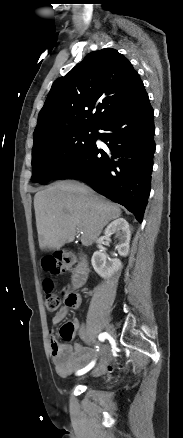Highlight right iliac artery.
<instances>
[{
  "mask_svg": "<svg viewBox=\"0 0 183 438\" xmlns=\"http://www.w3.org/2000/svg\"><path fill=\"white\" fill-rule=\"evenodd\" d=\"M109 337H110L109 334L104 332V333H101L98 338H99L100 341H104L106 338H109ZM94 365H95V360L92 361L90 364H88L85 368L78 370L76 372V375H83V374H85L86 372L91 370L94 367Z\"/></svg>",
  "mask_w": 183,
  "mask_h": 438,
  "instance_id": "82829eb1",
  "label": "right iliac artery"
}]
</instances>
